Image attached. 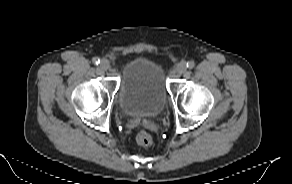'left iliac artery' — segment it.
Listing matches in <instances>:
<instances>
[{"instance_id":"left-iliac-artery-1","label":"left iliac artery","mask_w":292,"mask_h":184,"mask_svg":"<svg viewBox=\"0 0 292 184\" xmlns=\"http://www.w3.org/2000/svg\"><path fill=\"white\" fill-rule=\"evenodd\" d=\"M186 66H187V68L192 69V68H194L195 63H194V61H189V62H187Z\"/></svg>"}]
</instances>
